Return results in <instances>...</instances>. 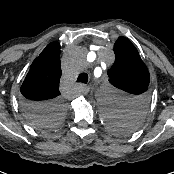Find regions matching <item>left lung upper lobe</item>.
<instances>
[{"label":"left lung upper lobe","mask_w":174,"mask_h":174,"mask_svg":"<svg viewBox=\"0 0 174 174\" xmlns=\"http://www.w3.org/2000/svg\"><path fill=\"white\" fill-rule=\"evenodd\" d=\"M115 62L108 70L109 81L114 86L133 94L122 116L108 117L112 130L117 134H128L140 124L147 108L150 75L137 49L125 37H119L114 45Z\"/></svg>","instance_id":"1"}]
</instances>
